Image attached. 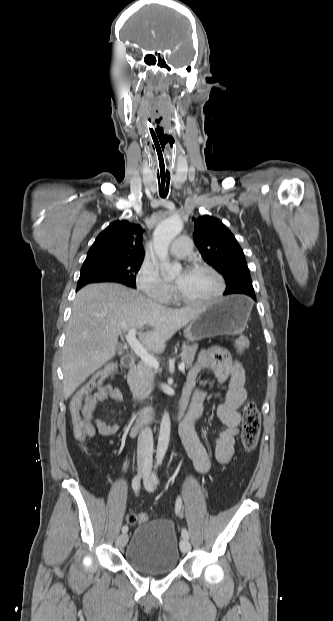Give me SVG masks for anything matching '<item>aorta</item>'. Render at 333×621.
<instances>
[{
  "label": "aorta",
  "mask_w": 333,
  "mask_h": 621,
  "mask_svg": "<svg viewBox=\"0 0 333 621\" xmlns=\"http://www.w3.org/2000/svg\"><path fill=\"white\" fill-rule=\"evenodd\" d=\"M183 222L177 216H172L162 221L154 230V249L162 267L168 275L174 277L182 270L179 263L170 264L168 261V248L172 240L181 233ZM171 420L168 412H164L160 424V432L157 445V456L163 457L168 449L170 438Z\"/></svg>",
  "instance_id": "762f6f07"
}]
</instances>
